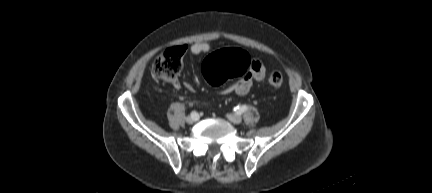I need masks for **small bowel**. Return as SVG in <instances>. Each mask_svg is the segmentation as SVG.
Listing matches in <instances>:
<instances>
[{
    "label": "small bowel",
    "mask_w": 432,
    "mask_h": 193,
    "mask_svg": "<svg viewBox=\"0 0 432 193\" xmlns=\"http://www.w3.org/2000/svg\"><path fill=\"white\" fill-rule=\"evenodd\" d=\"M210 49L211 46L209 43L198 42L193 44L189 48V52L192 55H200L209 52ZM265 75H266V68L264 63L258 58H252V66L250 70L246 74L241 76L236 82L223 88L220 92L222 94L236 93L238 95H246L250 91L253 82L262 81L265 78ZM188 86L190 87L189 84ZM174 87L180 88V83L178 81H175Z\"/></svg>",
    "instance_id": "obj_1"
}]
</instances>
